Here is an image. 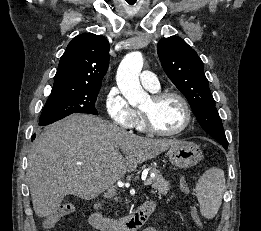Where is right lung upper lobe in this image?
Segmentation results:
<instances>
[{"mask_svg": "<svg viewBox=\"0 0 261 231\" xmlns=\"http://www.w3.org/2000/svg\"><path fill=\"white\" fill-rule=\"evenodd\" d=\"M108 40L92 33L76 36L62 55L53 89L99 88L109 65Z\"/></svg>", "mask_w": 261, "mask_h": 231, "instance_id": "right-lung-upper-lobe-1", "label": "right lung upper lobe"}]
</instances>
